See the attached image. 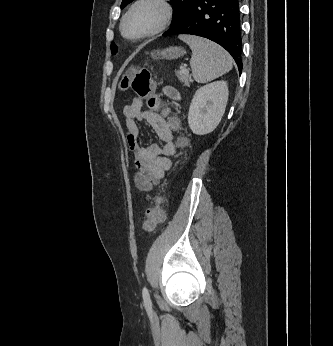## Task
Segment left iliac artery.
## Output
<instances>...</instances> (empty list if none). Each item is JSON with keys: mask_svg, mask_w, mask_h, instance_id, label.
I'll use <instances>...</instances> for the list:
<instances>
[{"mask_svg": "<svg viewBox=\"0 0 333 346\" xmlns=\"http://www.w3.org/2000/svg\"><path fill=\"white\" fill-rule=\"evenodd\" d=\"M142 296H143V301H144L146 311H147L148 315L151 316L152 315V302L150 299L149 291L146 287H144L142 290Z\"/></svg>", "mask_w": 333, "mask_h": 346, "instance_id": "44dca946", "label": "left iliac artery"}]
</instances>
